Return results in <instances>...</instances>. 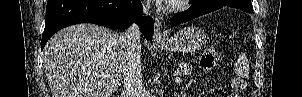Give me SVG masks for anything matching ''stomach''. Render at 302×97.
I'll return each instance as SVG.
<instances>
[{"label": "stomach", "mask_w": 302, "mask_h": 97, "mask_svg": "<svg viewBox=\"0 0 302 97\" xmlns=\"http://www.w3.org/2000/svg\"><path fill=\"white\" fill-rule=\"evenodd\" d=\"M206 43L205 32L195 26L181 29L165 42L158 43V47L166 51L192 53L200 50Z\"/></svg>", "instance_id": "1"}]
</instances>
